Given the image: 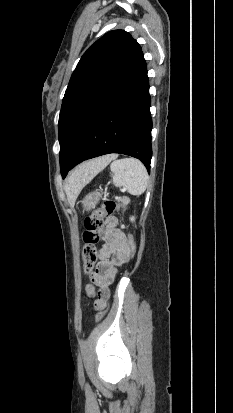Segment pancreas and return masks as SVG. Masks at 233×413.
<instances>
[{
  "label": "pancreas",
  "mask_w": 233,
  "mask_h": 413,
  "mask_svg": "<svg viewBox=\"0 0 233 413\" xmlns=\"http://www.w3.org/2000/svg\"><path fill=\"white\" fill-rule=\"evenodd\" d=\"M117 201L121 202L123 206H125L129 202L127 197H120V198L117 199Z\"/></svg>",
  "instance_id": "pancreas-1"
}]
</instances>
